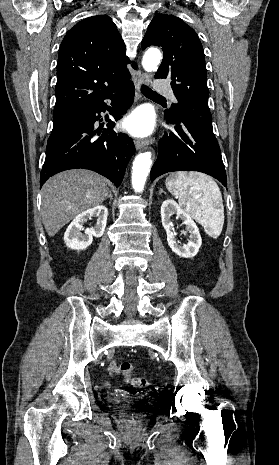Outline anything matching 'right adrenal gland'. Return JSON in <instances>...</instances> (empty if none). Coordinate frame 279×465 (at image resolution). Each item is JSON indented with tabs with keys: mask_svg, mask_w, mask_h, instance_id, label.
I'll list each match as a JSON object with an SVG mask.
<instances>
[{
	"mask_svg": "<svg viewBox=\"0 0 279 465\" xmlns=\"http://www.w3.org/2000/svg\"><path fill=\"white\" fill-rule=\"evenodd\" d=\"M107 198H109L110 200L113 199L111 191H109V194H108Z\"/></svg>",
	"mask_w": 279,
	"mask_h": 465,
	"instance_id": "obj_1",
	"label": "right adrenal gland"
}]
</instances>
